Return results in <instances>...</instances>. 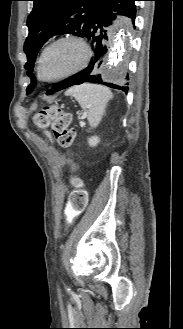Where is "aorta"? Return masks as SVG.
Returning a JSON list of instances; mask_svg holds the SVG:
<instances>
[{
  "mask_svg": "<svg viewBox=\"0 0 183 329\" xmlns=\"http://www.w3.org/2000/svg\"><path fill=\"white\" fill-rule=\"evenodd\" d=\"M124 38H125V29L121 26L117 32V35L113 41L112 45V54L109 59V70L108 77L111 79L120 77L119 74L116 73V66L120 60V55L122 54V50L124 49Z\"/></svg>",
  "mask_w": 183,
  "mask_h": 329,
  "instance_id": "obj_1",
  "label": "aorta"
}]
</instances>
